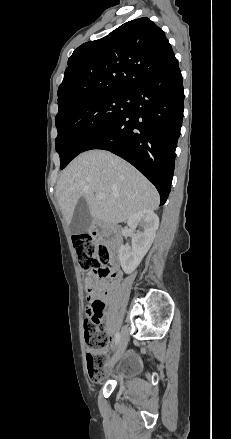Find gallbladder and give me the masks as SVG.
<instances>
[{
    "label": "gallbladder",
    "mask_w": 231,
    "mask_h": 439,
    "mask_svg": "<svg viewBox=\"0 0 231 439\" xmlns=\"http://www.w3.org/2000/svg\"><path fill=\"white\" fill-rule=\"evenodd\" d=\"M91 224V214L88 203L84 197L78 201L70 223V231L73 234L83 233Z\"/></svg>",
    "instance_id": "1"
}]
</instances>
